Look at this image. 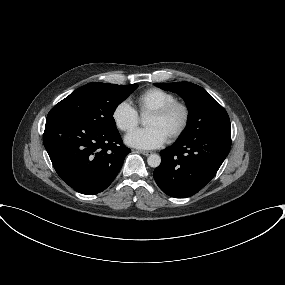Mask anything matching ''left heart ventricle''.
Returning <instances> with one entry per match:
<instances>
[{"label":"left heart ventricle","mask_w":285,"mask_h":285,"mask_svg":"<svg viewBox=\"0 0 285 285\" xmlns=\"http://www.w3.org/2000/svg\"><path fill=\"white\" fill-rule=\"evenodd\" d=\"M181 121V112L179 110H174L170 114L164 117H158L149 114L146 118L145 124L147 127L155 126L158 127L166 137L173 132Z\"/></svg>","instance_id":"b2bd125f"}]
</instances>
